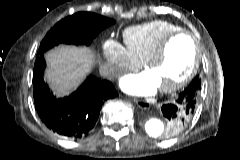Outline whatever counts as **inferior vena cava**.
<instances>
[{"label":"inferior vena cava","mask_w":240,"mask_h":160,"mask_svg":"<svg viewBox=\"0 0 240 160\" xmlns=\"http://www.w3.org/2000/svg\"><path fill=\"white\" fill-rule=\"evenodd\" d=\"M118 71L112 66H103L100 68V74L108 79H112L117 75Z\"/></svg>","instance_id":"obj_1"}]
</instances>
